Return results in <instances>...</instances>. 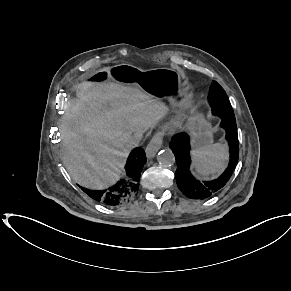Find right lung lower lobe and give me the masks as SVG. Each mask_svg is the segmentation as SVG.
Returning a JSON list of instances; mask_svg holds the SVG:
<instances>
[{
	"instance_id": "right-lung-lower-lobe-1",
	"label": "right lung lower lobe",
	"mask_w": 291,
	"mask_h": 291,
	"mask_svg": "<svg viewBox=\"0 0 291 291\" xmlns=\"http://www.w3.org/2000/svg\"><path fill=\"white\" fill-rule=\"evenodd\" d=\"M145 163L146 156L144 150L140 147L135 148L127 159L123 178L114 186L107 190L99 191L89 190L83 187L81 189L89 197L106 206H118L129 202L138 193L140 174Z\"/></svg>"
}]
</instances>
